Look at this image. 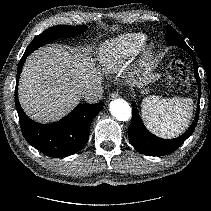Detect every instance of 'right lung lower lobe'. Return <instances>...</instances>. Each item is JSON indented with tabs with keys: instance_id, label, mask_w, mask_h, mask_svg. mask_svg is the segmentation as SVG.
I'll list each match as a JSON object with an SVG mask.
<instances>
[{
	"instance_id": "right-lung-lower-lobe-1",
	"label": "right lung lower lobe",
	"mask_w": 211,
	"mask_h": 211,
	"mask_svg": "<svg viewBox=\"0 0 211 211\" xmlns=\"http://www.w3.org/2000/svg\"><path fill=\"white\" fill-rule=\"evenodd\" d=\"M29 54L21 58L16 78L15 103L22 134L26 141L49 157H65L78 152L85 145L93 119L103 109V103L80 104L66 117L51 124H39L22 110L17 86L23 64Z\"/></svg>"
}]
</instances>
